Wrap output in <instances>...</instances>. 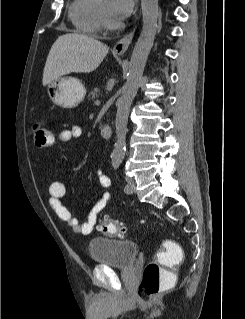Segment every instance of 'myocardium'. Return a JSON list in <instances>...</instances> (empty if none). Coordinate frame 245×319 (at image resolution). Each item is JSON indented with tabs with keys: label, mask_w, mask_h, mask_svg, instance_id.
<instances>
[{
	"label": "myocardium",
	"mask_w": 245,
	"mask_h": 319,
	"mask_svg": "<svg viewBox=\"0 0 245 319\" xmlns=\"http://www.w3.org/2000/svg\"><path fill=\"white\" fill-rule=\"evenodd\" d=\"M100 10H101V17H102V22L103 26L107 29H118L122 26V24L117 21L107 10L104 8V6L100 5Z\"/></svg>",
	"instance_id": "obj_1"
}]
</instances>
